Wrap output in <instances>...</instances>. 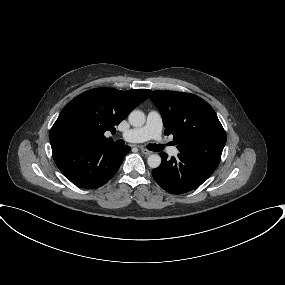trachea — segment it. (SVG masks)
<instances>
[{"mask_svg":"<svg viewBox=\"0 0 285 285\" xmlns=\"http://www.w3.org/2000/svg\"><path fill=\"white\" fill-rule=\"evenodd\" d=\"M147 148L151 151H160L163 149V146L160 144H149Z\"/></svg>","mask_w":285,"mask_h":285,"instance_id":"trachea-1","label":"trachea"}]
</instances>
